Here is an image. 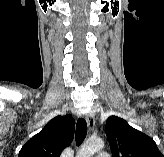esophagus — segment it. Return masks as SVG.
<instances>
[{
  "mask_svg": "<svg viewBox=\"0 0 164 157\" xmlns=\"http://www.w3.org/2000/svg\"><path fill=\"white\" fill-rule=\"evenodd\" d=\"M86 119H87L88 128H89L90 131H92L94 129V126H95L94 115L92 113H89L87 115Z\"/></svg>",
  "mask_w": 164,
  "mask_h": 157,
  "instance_id": "esophagus-1",
  "label": "esophagus"
}]
</instances>
